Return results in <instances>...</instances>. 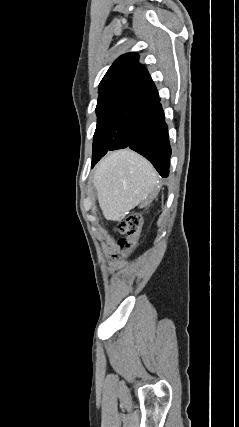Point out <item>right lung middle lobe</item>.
<instances>
[{
    "label": "right lung middle lobe",
    "instance_id": "dd1d6c3e",
    "mask_svg": "<svg viewBox=\"0 0 239 427\" xmlns=\"http://www.w3.org/2000/svg\"><path fill=\"white\" fill-rule=\"evenodd\" d=\"M149 101L139 98L106 99L96 106L97 126L93 138L92 165L107 151L123 148Z\"/></svg>",
    "mask_w": 239,
    "mask_h": 427
}]
</instances>
